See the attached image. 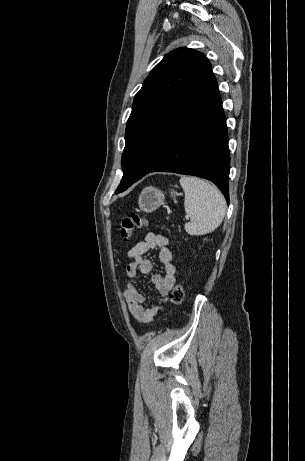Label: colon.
<instances>
[{
  "mask_svg": "<svg viewBox=\"0 0 305 461\" xmlns=\"http://www.w3.org/2000/svg\"><path fill=\"white\" fill-rule=\"evenodd\" d=\"M148 224L149 220L146 217L135 213L126 215L123 218L119 229L121 239L125 242L131 240L136 230L144 228ZM184 297V286L181 283H177L170 293V300L174 305H180L182 304Z\"/></svg>",
  "mask_w": 305,
  "mask_h": 461,
  "instance_id": "colon-1",
  "label": "colon"
}]
</instances>
